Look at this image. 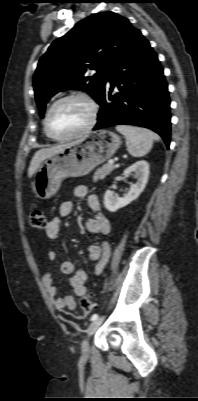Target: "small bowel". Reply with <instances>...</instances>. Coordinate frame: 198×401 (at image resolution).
I'll list each match as a JSON object with an SVG mask.
<instances>
[{"instance_id": "obj_1", "label": "small bowel", "mask_w": 198, "mask_h": 401, "mask_svg": "<svg viewBox=\"0 0 198 401\" xmlns=\"http://www.w3.org/2000/svg\"><path fill=\"white\" fill-rule=\"evenodd\" d=\"M74 195L78 198L87 196V203L93 212V217L86 221V230L91 235L103 234L110 232V221L102 214L99 198L95 194L88 195L87 187L79 185L74 188ZM73 210L71 202H63L59 206V214L54 217L46 226V236L51 241H57L60 237V229L62 219L69 216ZM87 253L90 260L95 261L94 272L100 275L108 262L111 254V248L108 242L104 241L100 245L90 243L87 246ZM58 255L56 250H52L48 254L50 260H54ZM60 271L64 274L71 275L70 284L73 288V294L61 297L58 296L54 277L51 272L42 276L43 285L58 311L73 310L76 307L77 299L86 293L87 273L83 269L75 270L71 260L65 259L60 264Z\"/></svg>"}]
</instances>
